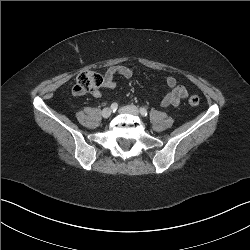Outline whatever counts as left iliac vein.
I'll use <instances>...</instances> for the list:
<instances>
[{
	"label": "left iliac vein",
	"mask_w": 250,
	"mask_h": 250,
	"mask_svg": "<svg viewBox=\"0 0 250 250\" xmlns=\"http://www.w3.org/2000/svg\"><path fill=\"white\" fill-rule=\"evenodd\" d=\"M121 113H128L133 115H139V110L136 106L128 105L120 108Z\"/></svg>",
	"instance_id": "4c4485c4"
}]
</instances>
